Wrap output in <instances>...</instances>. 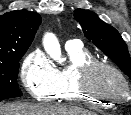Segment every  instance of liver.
<instances>
[{
    "label": "liver",
    "mask_w": 131,
    "mask_h": 115,
    "mask_svg": "<svg viewBox=\"0 0 131 115\" xmlns=\"http://www.w3.org/2000/svg\"><path fill=\"white\" fill-rule=\"evenodd\" d=\"M0 115H96L78 107H61L43 104L12 103L0 105Z\"/></svg>",
    "instance_id": "6515ba94"
}]
</instances>
